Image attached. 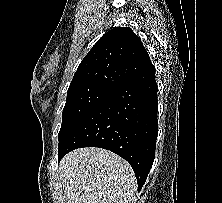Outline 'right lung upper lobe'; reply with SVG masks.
<instances>
[{"label": "right lung upper lobe", "mask_w": 222, "mask_h": 203, "mask_svg": "<svg viewBox=\"0 0 222 203\" xmlns=\"http://www.w3.org/2000/svg\"><path fill=\"white\" fill-rule=\"evenodd\" d=\"M152 65L141 41L129 27L105 33L81 61L68 88H101L114 91Z\"/></svg>", "instance_id": "cb5924a9"}]
</instances>
